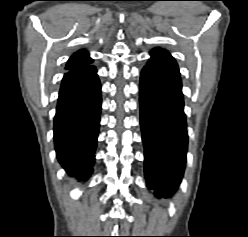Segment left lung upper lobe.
Masks as SVG:
<instances>
[{"mask_svg":"<svg viewBox=\"0 0 248 237\" xmlns=\"http://www.w3.org/2000/svg\"><path fill=\"white\" fill-rule=\"evenodd\" d=\"M150 55L151 60L158 65L174 74H180L176 61L166 50L155 48L150 52Z\"/></svg>","mask_w":248,"mask_h":237,"instance_id":"obj_1","label":"left lung upper lobe"}]
</instances>
